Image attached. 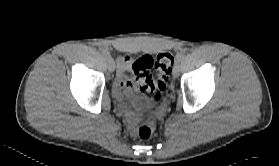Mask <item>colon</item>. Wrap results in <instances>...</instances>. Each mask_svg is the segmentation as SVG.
<instances>
[{"label": "colon", "mask_w": 279, "mask_h": 166, "mask_svg": "<svg viewBox=\"0 0 279 166\" xmlns=\"http://www.w3.org/2000/svg\"><path fill=\"white\" fill-rule=\"evenodd\" d=\"M174 63V56L171 52L159 54L156 58L145 55L133 62L132 72L136 87L150 95L154 101L162 98V92L167 86ZM151 69L156 71V77L151 74ZM156 128L155 119H146L138 129V136L141 139H148Z\"/></svg>", "instance_id": "1"}]
</instances>
